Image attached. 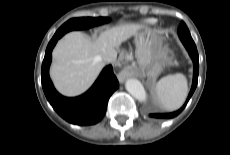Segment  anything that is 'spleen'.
Listing matches in <instances>:
<instances>
[{"label":"spleen","instance_id":"3e777b00","mask_svg":"<svg viewBox=\"0 0 230 155\" xmlns=\"http://www.w3.org/2000/svg\"><path fill=\"white\" fill-rule=\"evenodd\" d=\"M187 93V79L181 74L168 75L162 78L156 86L157 99L166 111H174L181 107Z\"/></svg>","mask_w":230,"mask_h":155}]
</instances>
